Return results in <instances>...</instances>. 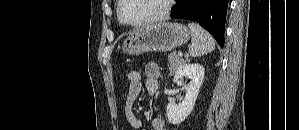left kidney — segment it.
Segmentation results:
<instances>
[{
  "label": "left kidney",
  "mask_w": 299,
  "mask_h": 130,
  "mask_svg": "<svg viewBox=\"0 0 299 130\" xmlns=\"http://www.w3.org/2000/svg\"><path fill=\"white\" fill-rule=\"evenodd\" d=\"M183 77L190 80L188 85L183 83ZM203 79L204 68L200 64L184 63L177 68L173 81L178 86H183L186 94L185 98L178 105L175 103L167 105L166 114L170 123L180 124L192 112Z\"/></svg>",
  "instance_id": "1"
}]
</instances>
